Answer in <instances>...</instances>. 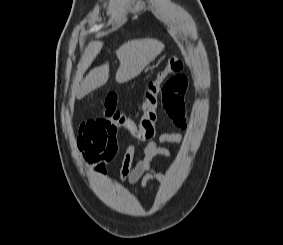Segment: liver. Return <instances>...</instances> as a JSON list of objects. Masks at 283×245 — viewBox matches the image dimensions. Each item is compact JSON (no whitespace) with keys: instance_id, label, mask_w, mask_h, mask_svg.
I'll use <instances>...</instances> for the list:
<instances>
[{"instance_id":"liver-1","label":"liver","mask_w":283,"mask_h":245,"mask_svg":"<svg viewBox=\"0 0 283 245\" xmlns=\"http://www.w3.org/2000/svg\"><path fill=\"white\" fill-rule=\"evenodd\" d=\"M164 48V44L156 39H135L121 45L116 50L120 66L116 72L118 83L127 82L137 77L143 69L153 61ZM109 78L108 62L92 69L83 80L78 98L103 86Z\"/></svg>"}]
</instances>
